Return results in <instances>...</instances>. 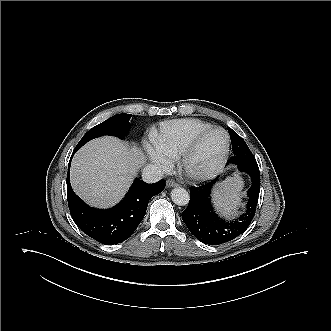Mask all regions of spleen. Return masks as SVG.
<instances>
[{
    "label": "spleen",
    "instance_id": "3e777b00",
    "mask_svg": "<svg viewBox=\"0 0 331 331\" xmlns=\"http://www.w3.org/2000/svg\"><path fill=\"white\" fill-rule=\"evenodd\" d=\"M243 181L239 175L228 177L217 184L213 192V202L217 210L225 217L236 215L237 210L242 205Z\"/></svg>",
    "mask_w": 331,
    "mask_h": 331
}]
</instances>
